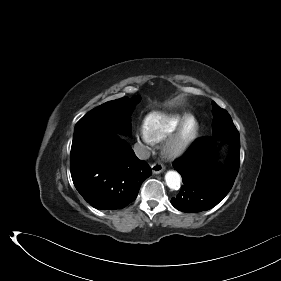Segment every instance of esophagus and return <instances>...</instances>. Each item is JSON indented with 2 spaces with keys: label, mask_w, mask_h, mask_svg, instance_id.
I'll list each match as a JSON object with an SVG mask.
<instances>
[{
  "label": "esophagus",
  "mask_w": 281,
  "mask_h": 281,
  "mask_svg": "<svg viewBox=\"0 0 281 281\" xmlns=\"http://www.w3.org/2000/svg\"><path fill=\"white\" fill-rule=\"evenodd\" d=\"M153 174H159L164 171V166L161 163H154L151 166Z\"/></svg>",
  "instance_id": "esophagus-1"
}]
</instances>
